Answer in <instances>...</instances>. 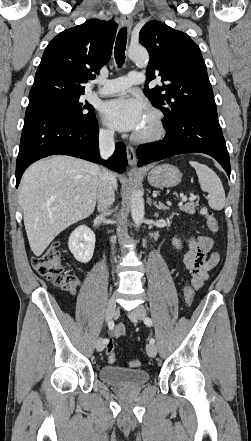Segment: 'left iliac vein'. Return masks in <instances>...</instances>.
Returning a JSON list of instances; mask_svg holds the SVG:
<instances>
[{
	"mask_svg": "<svg viewBox=\"0 0 251 441\" xmlns=\"http://www.w3.org/2000/svg\"><path fill=\"white\" fill-rule=\"evenodd\" d=\"M129 319L133 322H137L140 319H144L146 317V310L143 306H138L131 312L127 313ZM146 351L148 356L155 357L157 354V348L154 344H148L146 346Z\"/></svg>",
	"mask_w": 251,
	"mask_h": 441,
	"instance_id": "obj_1",
	"label": "left iliac vein"
}]
</instances>
